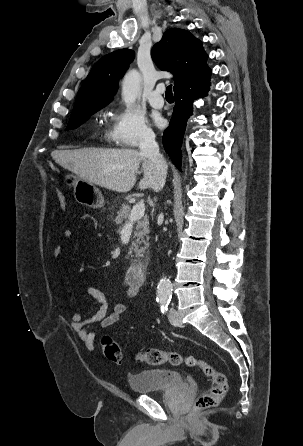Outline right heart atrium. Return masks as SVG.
<instances>
[{
    "label": "right heart atrium",
    "mask_w": 303,
    "mask_h": 446,
    "mask_svg": "<svg viewBox=\"0 0 303 446\" xmlns=\"http://www.w3.org/2000/svg\"><path fill=\"white\" fill-rule=\"evenodd\" d=\"M111 141L122 147H138L154 140V133L144 114L132 106H122L113 115Z\"/></svg>",
    "instance_id": "right-heart-atrium-1"
}]
</instances>
